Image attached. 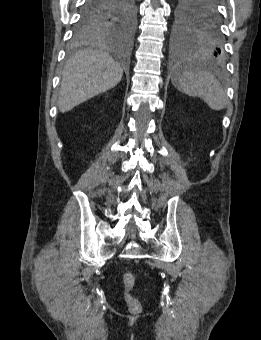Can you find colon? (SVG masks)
<instances>
[{"label":"colon","mask_w":261,"mask_h":340,"mask_svg":"<svg viewBox=\"0 0 261 340\" xmlns=\"http://www.w3.org/2000/svg\"><path fill=\"white\" fill-rule=\"evenodd\" d=\"M122 280L125 288V300L129 310L134 313L139 312L141 310V304L139 300L132 295V290L135 286L134 275L127 271L123 274Z\"/></svg>","instance_id":"5ec220e1"}]
</instances>
